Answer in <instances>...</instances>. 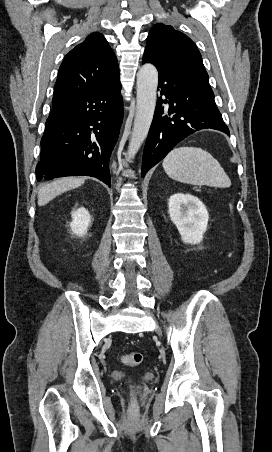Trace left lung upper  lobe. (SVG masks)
I'll return each mask as SVG.
<instances>
[{
	"mask_svg": "<svg viewBox=\"0 0 272 452\" xmlns=\"http://www.w3.org/2000/svg\"><path fill=\"white\" fill-rule=\"evenodd\" d=\"M143 57L158 67L181 71L209 85L198 48L189 37L172 26L159 23L151 28Z\"/></svg>",
	"mask_w": 272,
	"mask_h": 452,
	"instance_id": "left-lung-upper-lobe-1",
	"label": "left lung upper lobe"
}]
</instances>
